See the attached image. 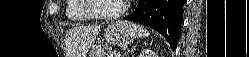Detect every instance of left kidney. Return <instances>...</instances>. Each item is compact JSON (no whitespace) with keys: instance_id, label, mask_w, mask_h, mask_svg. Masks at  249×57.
I'll return each mask as SVG.
<instances>
[{"instance_id":"obj_1","label":"left kidney","mask_w":249,"mask_h":57,"mask_svg":"<svg viewBox=\"0 0 249 57\" xmlns=\"http://www.w3.org/2000/svg\"><path fill=\"white\" fill-rule=\"evenodd\" d=\"M139 57H158V55L151 49L146 48L141 51Z\"/></svg>"}]
</instances>
